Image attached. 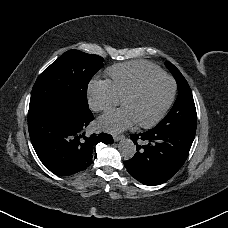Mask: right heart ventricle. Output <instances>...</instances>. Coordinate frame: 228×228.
<instances>
[{"mask_svg":"<svg viewBox=\"0 0 228 228\" xmlns=\"http://www.w3.org/2000/svg\"><path fill=\"white\" fill-rule=\"evenodd\" d=\"M163 73L157 66L140 62L125 63L110 69L111 83L120 98L126 97L145 79Z\"/></svg>","mask_w":228,"mask_h":228,"instance_id":"1","label":"right heart ventricle"}]
</instances>
